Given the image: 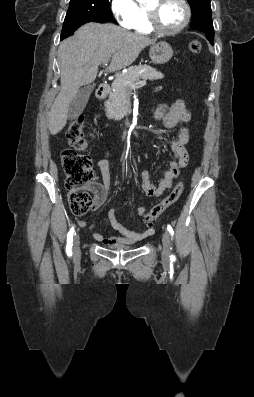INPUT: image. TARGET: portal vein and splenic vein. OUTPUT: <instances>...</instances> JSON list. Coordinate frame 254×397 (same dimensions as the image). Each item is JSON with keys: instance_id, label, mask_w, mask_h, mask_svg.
I'll use <instances>...</instances> for the list:
<instances>
[{"instance_id": "1", "label": "portal vein and splenic vein", "mask_w": 254, "mask_h": 397, "mask_svg": "<svg viewBox=\"0 0 254 397\" xmlns=\"http://www.w3.org/2000/svg\"><path fill=\"white\" fill-rule=\"evenodd\" d=\"M108 62H109V59H106V60H104L103 62H102V65H104V66H106L107 64H108ZM133 87H141V86H144V85H146V80H141V81H137L136 83H132L131 84Z\"/></svg>"}]
</instances>
